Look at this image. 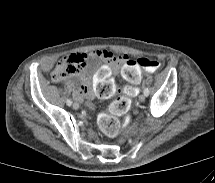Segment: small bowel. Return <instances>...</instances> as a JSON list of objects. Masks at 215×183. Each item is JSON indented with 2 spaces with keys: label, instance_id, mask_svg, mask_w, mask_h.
<instances>
[{
  "label": "small bowel",
  "instance_id": "c3829d8e",
  "mask_svg": "<svg viewBox=\"0 0 215 183\" xmlns=\"http://www.w3.org/2000/svg\"><path fill=\"white\" fill-rule=\"evenodd\" d=\"M91 55L98 56L109 61H115L117 65H124L129 60V57L126 54L115 56L105 49L96 50ZM86 59L87 55L85 53H74L66 56L59 63L68 66L71 71L69 76H79L80 85L77 86L76 82H72V84L76 87L75 98L80 101H82L86 96H91V93L87 91L88 86L91 83V78L89 75L82 73L80 70L81 64ZM92 90L95 97L99 100H106L112 95L114 91V84L112 82V70L109 66L100 65L96 68L95 74L92 78Z\"/></svg>",
  "mask_w": 215,
  "mask_h": 183
}]
</instances>
